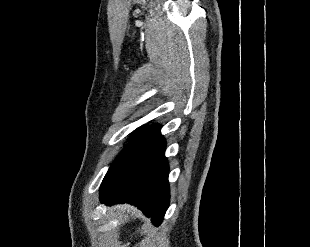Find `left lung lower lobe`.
I'll list each match as a JSON object with an SVG mask.
<instances>
[{
	"label": "left lung lower lobe",
	"mask_w": 310,
	"mask_h": 247,
	"mask_svg": "<svg viewBox=\"0 0 310 247\" xmlns=\"http://www.w3.org/2000/svg\"><path fill=\"white\" fill-rule=\"evenodd\" d=\"M160 127L152 125L133 138L110 166L100 187L101 202L133 204L152 217L155 226L161 224L169 206V168Z\"/></svg>",
	"instance_id": "left-lung-lower-lobe-1"
}]
</instances>
